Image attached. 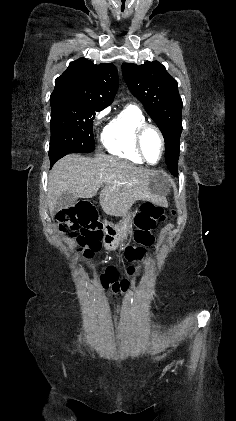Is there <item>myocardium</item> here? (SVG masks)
<instances>
[{
	"mask_svg": "<svg viewBox=\"0 0 236 421\" xmlns=\"http://www.w3.org/2000/svg\"><path fill=\"white\" fill-rule=\"evenodd\" d=\"M149 130L154 131L159 136V138H160V141H161V144H162V155H161V158H160V160L158 162V163H160L163 160L164 155H165V151H166V140H165L164 134L162 133V131L157 126L152 125V124H148V123H145V124L141 125L137 129V131L135 133V144H136L137 151L139 152V154L142 157L143 161L145 163L149 164V165H156L158 163L152 164V163L149 162V160H148V158L146 156L144 147H143V138H144V135Z\"/></svg>",
	"mask_w": 236,
	"mask_h": 421,
	"instance_id": "1",
	"label": "myocardium"
}]
</instances>
